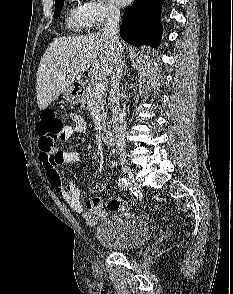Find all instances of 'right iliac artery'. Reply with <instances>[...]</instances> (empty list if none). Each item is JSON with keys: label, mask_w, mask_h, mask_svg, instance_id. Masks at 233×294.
<instances>
[{"label": "right iliac artery", "mask_w": 233, "mask_h": 294, "mask_svg": "<svg viewBox=\"0 0 233 294\" xmlns=\"http://www.w3.org/2000/svg\"><path fill=\"white\" fill-rule=\"evenodd\" d=\"M118 185L123 189L128 188V182H127V180L125 178H119L118 179Z\"/></svg>", "instance_id": "1"}]
</instances>
